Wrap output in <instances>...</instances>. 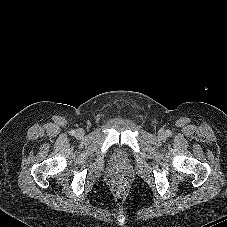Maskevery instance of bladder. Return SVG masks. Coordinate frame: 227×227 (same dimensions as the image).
<instances>
[{
  "mask_svg": "<svg viewBox=\"0 0 227 227\" xmlns=\"http://www.w3.org/2000/svg\"><path fill=\"white\" fill-rule=\"evenodd\" d=\"M119 157L121 158L122 157V154H119Z\"/></svg>",
  "mask_w": 227,
  "mask_h": 227,
  "instance_id": "bladder-1",
  "label": "bladder"
}]
</instances>
